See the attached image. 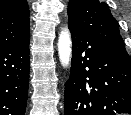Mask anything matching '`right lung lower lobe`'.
I'll list each match as a JSON object with an SVG mask.
<instances>
[{
  "label": "right lung lower lobe",
  "mask_w": 131,
  "mask_h": 115,
  "mask_svg": "<svg viewBox=\"0 0 131 115\" xmlns=\"http://www.w3.org/2000/svg\"><path fill=\"white\" fill-rule=\"evenodd\" d=\"M29 85V36L0 49V115H25Z\"/></svg>",
  "instance_id": "98d812e1"
}]
</instances>
